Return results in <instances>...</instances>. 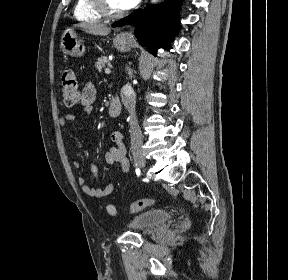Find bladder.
<instances>
[{"label":"bladder","instance_id":"bladder-1","mask_svg":"<svg viewBox=\"0 0 288 280\" xmlns=\"http://www.w3.org/2000/svg\"><path fill=\"white\" fill-rule=\"evenodd\" d=\"M169 219L170 213L168 211L163 209H150L132 218L128 227L136 231L154 230L164 225Z\"/></svg>","mask_w":288,"mask_h":280}]
</instances>
